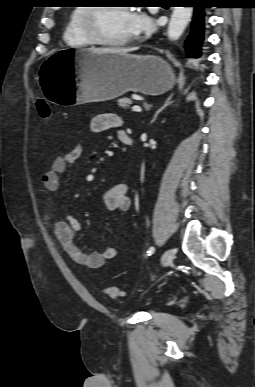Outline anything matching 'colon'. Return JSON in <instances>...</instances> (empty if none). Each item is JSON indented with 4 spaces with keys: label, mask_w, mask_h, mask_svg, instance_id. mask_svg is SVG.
Here are the masks:
<instances>
[{
    "label": "colon",
    "mask_w": 255,
    "mask_h": 387,
    "mask_svg": "<svg viewBox=\"0 0 255 387\" xmlns=\"http://www.w3.org/2000/svg\"><path fill=\"white\" fill-rule=\"evenodd\" d=\"M36 107H37L39 115L43 119H48L50 117L51 109L46 101H44L42 99L37 100ZM104 292L108 297H110L112 299L119 298L121 295L120 289L117 286H113V285L107 286L105 288Z\"/></svg>",
    "instance_id": "obj_1"
}]
</instances>
